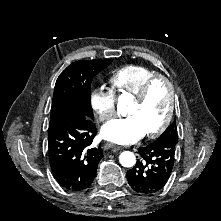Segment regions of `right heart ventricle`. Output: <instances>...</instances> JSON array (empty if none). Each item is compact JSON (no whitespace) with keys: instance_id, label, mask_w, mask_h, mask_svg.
I'll return each mask as SVG.
<instances>
[{"instance_id":"1","label":"right heart ventricle","mask_w":221,"mask_h":221,"mask_svg":"<svg viewBox=\"0 0 221 221\" xmlns=\"http://www.w3.org/2000/svg\"><path fill=\"white\" fill-rule=\"evenodd\" d=\"M158 72L143 65H126L115 70L109 76L111 90L120 95L135 96L144 82Z\"/></svg>"}]
</instances>
